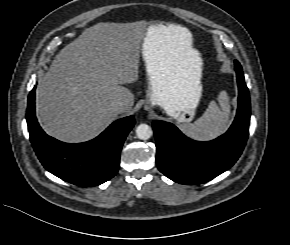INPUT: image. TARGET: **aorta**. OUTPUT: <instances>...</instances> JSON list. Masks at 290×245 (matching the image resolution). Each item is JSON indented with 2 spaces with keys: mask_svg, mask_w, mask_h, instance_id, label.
I'll list each match as a JSON object with an SVG mask.
<instances>
[{
  "mask_svg": "<svg viewBox=\"0 0 290 245\" xmlns=\"http://www.w3.org/2000/svg\"><path fill=\"white\" fill-rule=\"evenodd\" d=\"M136 135L141 140H148L153 135V130L147 124H140L136 128Z\"/></svg>",
  "mask_w": 290,
  "mask_h": 245,
  "instance_id": "1",
  "label": "aorta"
}]
</instances>
